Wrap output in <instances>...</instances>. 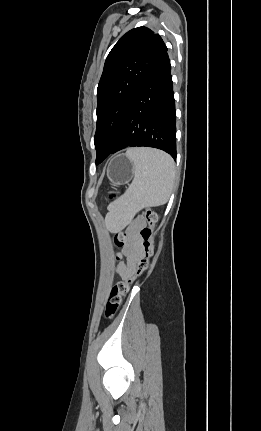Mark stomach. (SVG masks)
<instances>
[{
  "mask_svg": "<svg viewBox=\"0 0 261 431\" xmlns=\"http://www.w3.org/2000/svg\"><path fill=\"white\" fill-rule=\"evenodd\" d=\"M134 176V164L125 155L115 156L107 167V177L113 185L128 183Z\"/></svg>",
  "mask_w": 261,
  "mask_h": 431,
  "instance_id": "stomach-1",
  "label": "stomach"
}]
</instances>
